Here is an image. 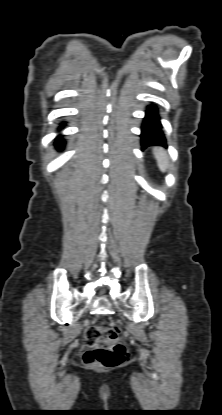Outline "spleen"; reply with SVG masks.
<instances>
[{
	"label": "spleen",
	"instance_id": "1",
	"mask_svg": "<svg viewBox=\"0 0 222 415\" xmlns=\"http://www.w3.org/2000/svg\"><path fill=\"white\" fill-rule=\"evenodd\" d=\"M154 157L157 161L158 167L162 172H166L169 166V158L163 148L155 147L153 149Z\"/></svg>",
	"mask_w": 222,
	"mask_h": 415
}]
</instances>
